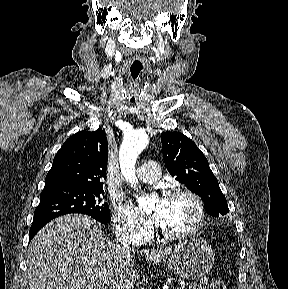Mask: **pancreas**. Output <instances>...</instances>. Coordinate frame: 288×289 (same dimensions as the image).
Here are the masks:
<instances>
[{
	"label": "pancreas",
	"mask_w": 288,
	"mask_h": 289,
	"mask_svg": "<svg viewBox=\"0 0 288 289\" xmlns=\"http://www.w3.org/2000/svg\"><path fill=\"white\" fill-rule=\"evenodd\" d=\"M208 285V279H202L198 283L189 285L186 289H206Z\"/></svg>",
	"instance_id": "cf45deb5"
}]
</instances>
